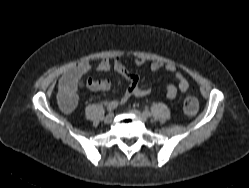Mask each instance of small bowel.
<instances>
[{"mask_svg":"<svg viewBox=\"0 0 249 188\" xmlns=\"http://www.w3.org/2000/svg\"><path fill=\"white\" fill-rule=\"evenodd\" d=\"M134 63L138 66H141L145 63V59L142 57H136L134 59ZM90 68V64L86 61L79 62L76 65L70 67L67 71L64 72V74L59 80V92H71L75 96L77 104L76 92L83 87H87L93 91H108L111 88V82L108 79H84V75L90 70ZM110 69H114L116 72L125 77L128 81V87L120 99L121 104L126 103L132 97H146L151 93L149 89H144L140 87L138 75L131 73L126 69V67L124 66L123 59L121 57H116L113 60L104 59L97 65V70L100 72H107ZM150 70H164L173 74L178 84L176 86L170 83L166 86V95L167 98L170 100H174L176 98L178 90L181 92H186L189 88V83L187 79L172 63L153 61L150 64ZM61 107L64 111H70L65 108L62 104Z\"/></svg>","mask_w":249,"mask_h":188,"instance_id":"small-bowel-1","label":"small bowel"}]
</instances>
